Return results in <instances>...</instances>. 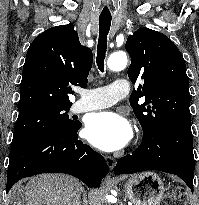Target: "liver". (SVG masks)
Segmentation results:
<instances>
[{
	"label": "liver",
	"instance_id": "liver-1",
	"mask_svg": "<svg viewBox=\"0 0 199 205\" xmlns=\"http://www.w3.org/2000/svg\"><path fill=\"white\" fill-rule=\"evenodd\" d=\"M82 190L80 182L71 176L42 174L28 181L23 192V201L19 203L23 205H80Z\"/></svg>",
	"mask_w": 199,
	"mask_h": 205
}]
</instances>
